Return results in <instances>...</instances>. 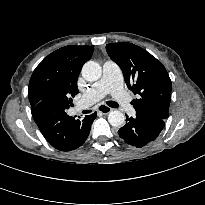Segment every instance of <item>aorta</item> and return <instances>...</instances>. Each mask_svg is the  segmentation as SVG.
I'll return each instance as SVG.
<instances>
[{
  "instance_id": "1",
  "label": "aorta",
  "mask_w": 205,
  "mask_h": 205,
  "mask_svg": "<svg viewBox=\"0 0 205 205\" xmlns=\"http://www.w3.org/2000/svg\"><path fill=\"white\" fill-rule=\"evenodd\" d=\"M82 76L87 81H97L102 75V67L95 61H88L82 67ZM108 122L114 127L124 125L125 116L121 111L113 110L108 114Z\"/></svg>"
}]
</instances>
